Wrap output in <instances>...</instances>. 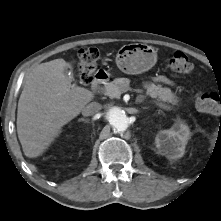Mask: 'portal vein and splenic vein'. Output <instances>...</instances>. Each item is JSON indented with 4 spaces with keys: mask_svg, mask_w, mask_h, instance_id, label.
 Here are the masks:
<instances>
[{
    "mask_svg": "<svg viewBox=\"0 0 221 221\" xmlns=\"http://www.w3.org/2000/svg\"><path fill=\"white\" fill-rule=\"evenodd\" d=\"M158 106L161 107V108H163V109H166V106L163 105V104H161V103H159Z\"/></svg>",
    "mask_w": 221,
    "mask_h": 221,
    "instance_id": "1",
    "label": "portal vein and splenic vein"
}]
</instances>
